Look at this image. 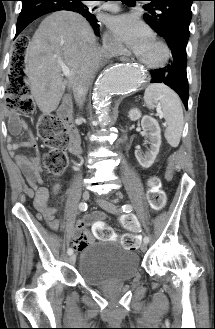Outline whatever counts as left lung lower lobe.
Instances as JSON below:
<instances>
[{
  "label": "left lung lower lobe",
  "mask_w": 215,
  "mask_h": 329,
  "mask_svg": "<svg viewBox=\"0 0 215 329\" xmlns=\"http://www.w3.org/2000/svg\"><path fill=\"white\" fill-rule=\"evenodd\" d=\"M172 52V60L167 67L151 70V83H164L180 96L185 108H188L187 53L188 39L169 32L162 36Z\"/></svg>",
  "instance_id": "0a47b994"
}]
</instances>
